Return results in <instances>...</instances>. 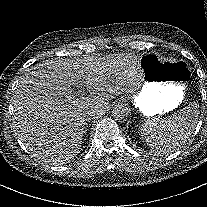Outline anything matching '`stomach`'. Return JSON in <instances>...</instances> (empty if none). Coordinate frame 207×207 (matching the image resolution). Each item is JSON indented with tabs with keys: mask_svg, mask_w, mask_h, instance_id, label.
<instances>
[{
	"mask_svg": "<svg viewBox=\"0 0 207 207\" xmlns=\"http://www.w3.org/2000/svg\"><path fill=\"white\" fill-rule=\"evenodd\" d=\"M137 63L144 84L135 107L142 115H162L177 108L184 98V90L190 78L187 64L181 60L162 59L156 53L139 56Z\"/></svg>",
	"mask_w": 207,
	"mask_h": 207,
	"instance_id": "stomach-1",
	"label": "stomach"
}]
</instances>
